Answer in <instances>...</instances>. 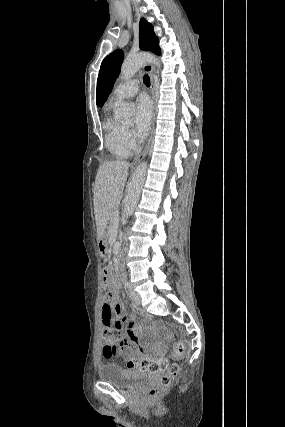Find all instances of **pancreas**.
I'll use <instances>...</instances> for the list:
<instances>
[{"mask_svg": "<svg viewBox=\"0 0 285 427\" xmlns=\"http://www.w3.org/2000/svg\"><path fill=\"white\" fill-rule=\"evenodd\" d=\"M115 222H116V219H115V217H114V213L112 212V213H111V227H110V229H109V234H110V235H112V234H113V230H114V228H115Z\"/></svg>", "mask_w": 285, "mask_h": 427, "instance_id": "obj_1", "label": "pancreas"}]
</instances>
